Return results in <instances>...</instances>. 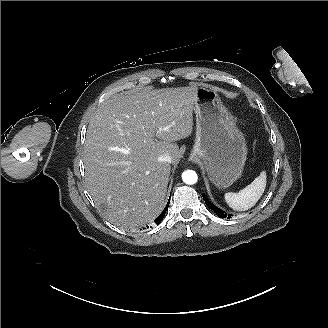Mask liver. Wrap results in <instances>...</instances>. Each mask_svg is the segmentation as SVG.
<instances>
[{"label": "liver", "mask_w": 328, "mask_h": 328, "mask_svg": "<svg viewBox=\"0 0 328 328\" xmlns=\"http://www.w3.org/2000/svg\"><path fill=\"white\" fill-rule=\"evenodd\" d=\"M196 86L138 88L106 100L94 113L86 135V184L96 207L121 228L149 223L165 201L174 143L194 132ZM168 128V130H167ZM169 154L171 162L159 161Z\"/></svg>", "instance_id": "1"}]
</instances>
